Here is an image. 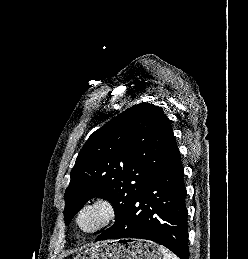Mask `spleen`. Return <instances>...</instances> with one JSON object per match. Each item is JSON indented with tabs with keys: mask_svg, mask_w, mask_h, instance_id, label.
<instances>
[{
	"mask_svg": "<svg viewBox=\"0 0 248 259\" xmlns=\"http://www.w3.org/2000/svg\"><path fill=\"white\" fill-rule=\"evenodd\" d=\"M159 249L163 254V259H179L173 252H171L164 246H159Z\"/></svg>",
	"mask_w": 248,
	"mask_h": 259,
	"instance_id": "1",
	"label": "spleen"
}]
</instances>
